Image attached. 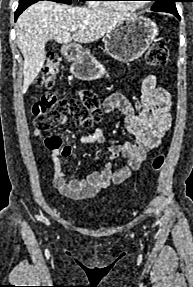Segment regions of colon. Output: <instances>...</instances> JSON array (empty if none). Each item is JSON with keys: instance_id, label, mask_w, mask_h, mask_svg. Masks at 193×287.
Listing matches in <instances>:
<instances>
[{"instance_id": "colon-1", "label": "colon", "mask_w": 193, "mask_h": 287, "mask_svg": "<svg viewBox=\"0 0 193 287\" xmlns=\"http://www.w3.org/2000/svg\"><path fill=\"white\" fill-rule=\"evenodd\" d=\"M168 58L169 51L163 43L153 44L146 55L147 63L156 67L165 65ZM59 69V56L56 53H49L42 70V75L38 78V85L46 88L51 87L53 77L58 73ZM79 97V100H57L54 94L50 92L45 93L33 106L36 128L41 131L50 130L55 127L60 118L66 114H70L84 127H90L99 121L102 112L98 96L91 91H82L79 93ZM163 162V156H157L153 161V168L159 170Z\"/></svg>"}]
</instances>
